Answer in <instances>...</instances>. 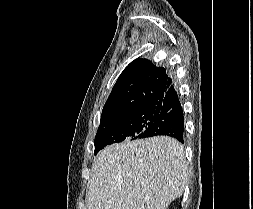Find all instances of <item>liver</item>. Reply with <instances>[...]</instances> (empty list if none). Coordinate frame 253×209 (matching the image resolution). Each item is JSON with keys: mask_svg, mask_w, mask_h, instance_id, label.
I'll return each mask as SVG.
<instances>
[{"mask_svg": "<svg viewBox=\"0 0 253 209\" xmlns=\"http://www.w3.org/2000/svg\"><path fill=\"white\" fill-rule=\"evenodd\" d=\"M188 181L183 146L155 136L107 147L95 159L87 189L88 209H167Z\"/></svg>", "mask_w": 253, "mask_h": 209, "instance_id": "1", "label": "liver"}]
</instances>
